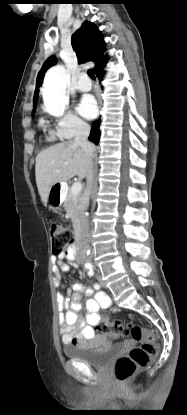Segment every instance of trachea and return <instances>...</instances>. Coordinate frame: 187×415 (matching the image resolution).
<instances>
[{
	"label": "trachea",
	"mask_w": 187,
	"mask_h": 415,
	"mask_svg": "<svg viewBox=\"0 0 187 415\" xmlns=\"http://www.w3.org/2000/svg\"><path fill=\"white\" fill-rule=\"evenodd\" d=\"M87 73H88V76H89L91 79H93V80L95 79V75H94V73H93L92 69H89Z\"/></svg>",
	"instance_id": "trachea-1"
}]
</instances>
